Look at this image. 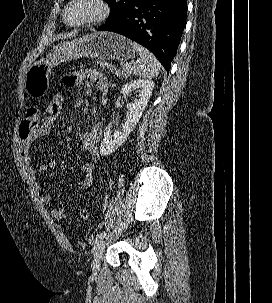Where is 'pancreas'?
Instances as JSON below:
<instances>
[{
  "mask_svg": "<svg viewBox=\"0 0 272 303\" xmlns=\"http://www.w3.org/2000/svg\"><path fill=\"white\" fill-rule=\"evenodd\" d=\"M112 72L117 76L122 75L125 78L130 76L131 73H132L131 69H125L124 67H123V70L121 72L119 70L115 69V68H112Z\"/></svg>",
  "mask_w": 272,
  "mask_h": 303,
  "instance_id": "1",
  "label": "pancreas"
}]
</instances>
